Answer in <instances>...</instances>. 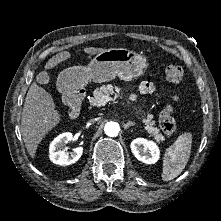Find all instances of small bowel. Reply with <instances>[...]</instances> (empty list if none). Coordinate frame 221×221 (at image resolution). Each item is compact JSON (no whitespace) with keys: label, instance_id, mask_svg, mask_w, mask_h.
<instances>
[{"label":"small bowel","instance_id":"1","mask_svg":"<svg viewBox=\"0 0 221 221\" xmlns=\"http://www.w3.org/2000/svg\"><path fill=\"white\" fill-rule=\"evenodd\" d=\"M138 90L140 91V93L142 94H152L154 93L157 89L156 86L151 83V82H142L139 86H138Z\"/></svg>","mask_w":221,"mask_h":221}]
</instances>
